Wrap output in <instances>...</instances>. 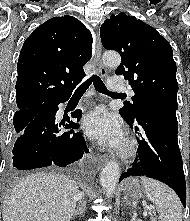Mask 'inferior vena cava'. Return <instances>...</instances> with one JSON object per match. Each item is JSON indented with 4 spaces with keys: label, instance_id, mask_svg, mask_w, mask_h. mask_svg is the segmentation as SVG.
Returning a JSON list of instances; mask_svg holds the SVG:
<instances>
[{
    "label": "inferior vena cava",
    "instance_id": "inferior-vena-cava-1",
    "mask_svg": "<svg viewBox=\"0 0 190 221\" xmlns=\"http://www.w3.org/2000/svg\"><path fill=\"white\" fill-rule=\"evenodd\" d=\"M82 196H83V194H82L81 192H79V193L77 194V198H78V199L82 198Z\"/></svg>",
    "mask_w": 190,
    "mask_h": 221
}]
</instances>
